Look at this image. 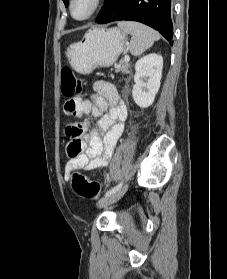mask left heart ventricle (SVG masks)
<instances>
[{
    "instance_id": "left-heart-ventricle-1",
    "label": "left heart ventricle",
    "mask_w": 227,
    "mask_h": 279,
    "mask_svg": "<svg viewBox=\"0 0 227 279\" xmlns=\"http://www.w3.org/2000/svg\"><path fill=\"white\" fill-rule=\"evenodd\" d=\"M91 8V0H75L73 4V14L77 18L84 17Z\"/></svg>"
}]
</instances>
